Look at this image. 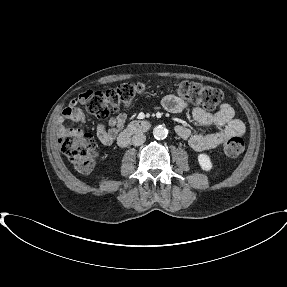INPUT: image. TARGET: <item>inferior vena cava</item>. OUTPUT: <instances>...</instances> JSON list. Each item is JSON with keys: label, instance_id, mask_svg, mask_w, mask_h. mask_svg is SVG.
I'll return each instance as SVG.
<instances>
[{"label": "inferior vena cava", "instance_id": "inferior-vena-cava-1", "mask_svg": "<svg viewBox=\"0 0 287 287\" xmlns=\"http://www.w3.org/2000/svg\"><path fill=\"white\" fill-rule=\"evenodd\" d=\"M146 140V136L144 134H135L132 137V144L134 146L142 145Z\"/></svg>", "mask_w": 287, "mask_h": 287}]
</instances>
